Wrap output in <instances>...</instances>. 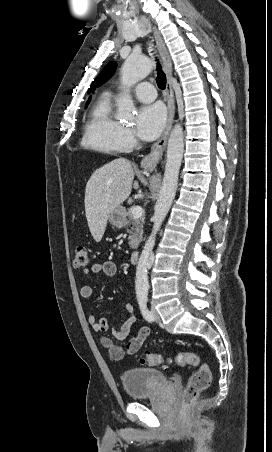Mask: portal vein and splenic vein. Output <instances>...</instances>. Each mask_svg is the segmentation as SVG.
<instances>
[{
    "label": "portal vein and splenic vein",
    "instance_id": "18ae733b",
    "mask_svg": "<svg viewBox=\"0 0 272 452\" xmlns=\"http://www.w3.org/2000/svg\"><path fill=\"white\" fill-rule=\"evenodd\" d=\"M142 214H143V209L141 206H134L132 208V215L134 218H139L142 216Z\"/></svg>",
    "mask_w": 272,
    "mask_h": 452
}]
</instances>
